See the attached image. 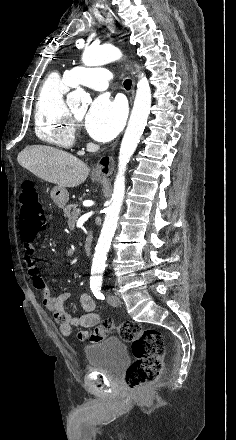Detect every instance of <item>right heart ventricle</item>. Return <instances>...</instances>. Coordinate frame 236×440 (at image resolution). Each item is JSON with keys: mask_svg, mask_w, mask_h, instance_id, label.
<instances>
[{"mask_svg": "<svg viewBox=\"0 0 236 440\" xmlns=\"http://www.w3.org/2000/svg\"><path fill=\"white\" fill-rule=\"evenodd\" d=\"M72 86L66 76L50 74L43 82L35 105V133L45 143L61 149L75 140L64 95Z\"/></svg>", "mask_w": 236, "mask_h": 440, "instance_id": "right-heart-ventricle-1", "label": "right heart ventricle"}]
</instances>
